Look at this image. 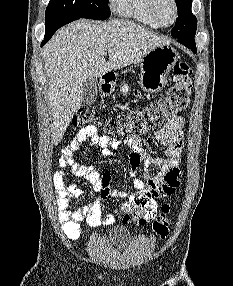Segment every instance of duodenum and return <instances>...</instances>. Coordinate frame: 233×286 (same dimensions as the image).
Instances as JSON below:
<instances>
[{
    "instance_id": "410a0bca",
    "label": "duodenum",
    "mask_w": 233,
    "mask_h": 286,
    "mask_svg": "<svg viewBox=\"0 0 233 286\" xmlns=\"http://www.w3.org/2000/svg\"><path fill=\"white\" fill-rule=\"evenodd\" d=\"M103 79H104L105 83L110 84L114 81V75L112 73H106L103 76Z\"/></svg>"
}]
</instances>
